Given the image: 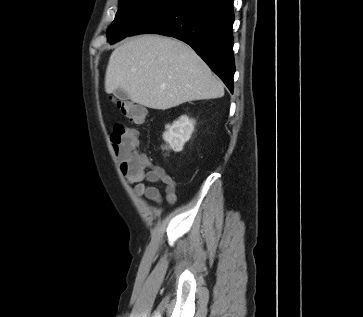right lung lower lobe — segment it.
<instances>
[{"instance_id": "obj_1", "label": "right lung lower lobe", "mask_w": 363, "mask_h": 317, "mask_svg": "<svg viewBox=\"0 0 363 317\" xmlns=\"http://www.w3.org/2000/svg\"><path fill=\"white\" fill-rule=\"evenodd\" d=\"M234 0H177L129 35L157 33L190 45L233 92Z\"/></svg>"}]
</instances>
